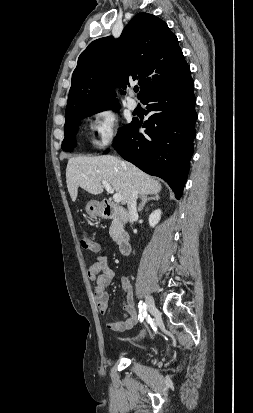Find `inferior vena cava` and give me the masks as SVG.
I'll return each instance as SVG.
<instances>
[{
	"instance_id": "1",
	"label": "inferior vena cava",
	"mask_w": 253,
	"mask_h": 413,
	"mask_svg": "<svg viewBox=\"0 0 253 413\" xmlns=\"http://www.w3.org/2000/svg\"><path fill=\"white\" fill-rule=\"evenodd\" d=\"M137 195L138 193L132 188L127 202L130 223H133L134 218L137 216Z\"/></svg>"
}]
</instances>
